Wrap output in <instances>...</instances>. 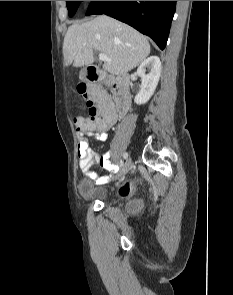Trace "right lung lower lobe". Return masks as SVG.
<instances>
[{
	"label": "right lung lower lobe",
	"instance_id": "right-lung-lower-lobe-1",
	"mask_svg": "<svg viewBox=\"0 0 233 295\" xmlns=\"http://www.w3.org/2000/svg\"><path fill=\"white\" fill-rule=\"evenodd\" d=\"M176 1H92L86 16L106 14L151 37L160 49L168 39Z\"/></svg>",
	"mask_w": 233,
	"mask_h": 295
}]
</instances>
